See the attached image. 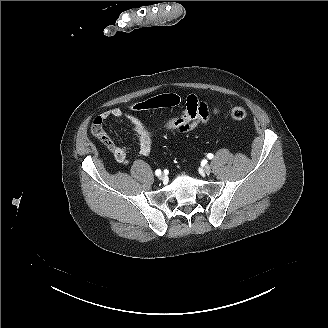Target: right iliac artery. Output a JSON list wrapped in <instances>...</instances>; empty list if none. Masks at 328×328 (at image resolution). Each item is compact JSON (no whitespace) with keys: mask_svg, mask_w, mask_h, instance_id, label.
<instances>
[{"mask_svg":"<svg viewBox=\"0 0 328 328\" xmlns=\"http://www.w3.org/2000/svg\"><path fill=\"white\" fill-rule=\"evenodd\" d=\"M155 174H156V176H159V175L161 174V170H160V169H157V170L155 171Z\"/></svg>","mask_w":328,"mask_h":328,"instance_id":"82829eb1","label":"right iliac artery"}]
</instances>
